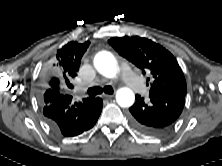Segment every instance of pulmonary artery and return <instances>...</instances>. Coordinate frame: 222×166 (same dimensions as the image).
Instances as JSON below:
<instances>
[{
    "label": "pulmonary artery",
    "mask_w": 222,
    "mask_h": 166,
    "mask_svg": "<svg viewBox=\"0 0 222 166\" xmlns=\"http://www.w3.org/2000/svg\"><path fill=\"white\" fill-rule=\"evenodd\" d=\"M121 77L124 83L131 89L137 90L139 87V77L134 73L128 64H123L121 67ZM84 86H79L78 90L82 91Z\"/></svg>",
    "instance_id": "obj_1"
}]
</instances>
